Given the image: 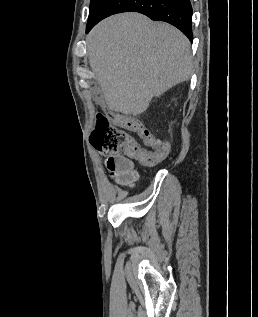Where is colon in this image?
<instances>
[{"label": "colon", "instance_id": "obj_1", "mask_svg": "<svg viewBox=\"0 0 258 317\" xmlns=\"http://www.w3.org/2000/svg\"><path fill=\"white\" fill-rule=\"evenodd\" d=\"M103 106L106 101L101 99ZM120 114H97L95 128L91 133L92 145L106 154H119L123 157L135 159L146 166H155L164 160L161 152L141 147L136 139L114 124Z\"/></svg>", "mask_w": 258, "mask_h": 317}]
</instances>
